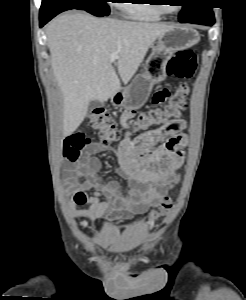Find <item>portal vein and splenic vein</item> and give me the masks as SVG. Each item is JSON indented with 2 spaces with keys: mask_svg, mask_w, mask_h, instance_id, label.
<instances>
[{
  "mask_svg": "<svg viewBox=\"0 0 246 300\" xmlns=\"http://www.w3.org/2000/svg\"><path fill=\"white\" fill-rule=\"evenodd\" d=\"M119 58V55H118V53L117 52H113V53H111V55H110V62H114L116 59H118Z\"/></svg>",
  "mask_w": 246,
  "mask_h": 300,
  "instance_id": "1",
  "label": "portal vein and splenic vein"
}]
</instances>
